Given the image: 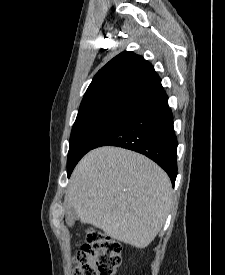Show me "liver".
I'll return each mask as SVG.
<instances>
[{"label": "liver", "instance_id": "obj_1", "mask_svg": "<svg viewBox=\"0 0 225 275\" xmlns=\"http://www.w3.org/2000/svg\"><path fill=\"white\" fill-rule=\"evenodd\" d=\"M172 201L168 175L149 158L123 148L100 147L75 167L67 192L82 224L136 248L161 230Z\"/></svg>", "mask_w": 225, "mask_h": 275}]
</instances>
